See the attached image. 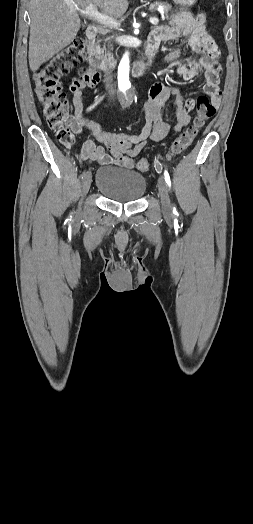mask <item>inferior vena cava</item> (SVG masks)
I'll use <instances>...</instances> for the list:
<instances>
[{
	"instance_id": "inferior-vena-cava-1",
	"label": "inferior vena cava",
	"mask_w": 253,
	"mask_h": 524,
	"mask_svg": "<svg viewBox=\"0 0 253 524\" xmlns=\"http://www.w3.org/2000/svg\"><path fill=\"white\" fill-rule=\"evenodd\" d=\"M112 82H113V76H112V74L109 73V72H106L105 75H104V83H105V85H106V88H109V89H110V91H109L110 98H113Z\"/></svg>"
}]
</instances>
